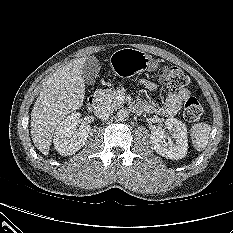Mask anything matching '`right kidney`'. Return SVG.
Returning <instances> with one entry per match:
<instances>
[{
    "label": "right kidney",
    "instance_id": "ca27d5eb",
    "mask_svg": "<svg viewBox=\"0 0 233 233\" xmlns=\"http://www.w3.org/2000/svg\"><path fill=\"white\" fill-rule=\"evenodd\" d=\"M79 120L80 113L74 112L61 121L56 128L53 143L60 155H73L85 145L90 127L87 125L77 129Z\"/></svg>",
    "mask_w": 233,
    "mask_h": 233
}]
</instances>
